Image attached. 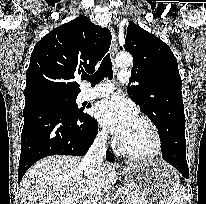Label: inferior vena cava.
<instances>
[{"mask_svg": "<svg viewBox=\"0 0 206 204\" xmlns=\"http://www.w3.org/2000/svg\"><path fill=\"white\" fill-rule=\"evenodd\" d=\"M106 139L107 135L104 131L99 133L83 159V163L87 166L86 174L89 183V190L84 204H101L100 176L106 151Z\"/></svg>", "mask_w": 206, "mask_h": 204, "instance_id": "inferior-vena-cava-1", "label": "inferior vena cava"}]
</instances>
